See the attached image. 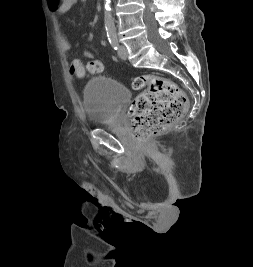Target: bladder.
<instances>
[{
  "label": "bladder",
  "mask_w": 253,
  "mask_h": 267,
  "mask_svg": "<svg viewBox=\"0 0 253 267\" xmlns=\"http://www.w3.org/2000/svg\"><path fill=\"white\" fill-rule=\"evenodd\" d=\"M129 96L127 88L116 80L104 76L91 78L82 92L88 123L93 126L112 123Z\"/></svg>",
  "instance_id": "bladder-1"
}]
</instances>
